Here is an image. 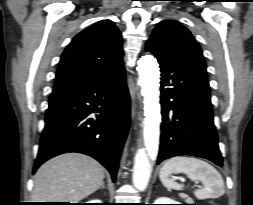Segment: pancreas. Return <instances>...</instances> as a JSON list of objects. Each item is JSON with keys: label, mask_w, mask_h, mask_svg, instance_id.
I'll return each mask as SVG.
<instances>
[{"label": "pancreas", "mask_w": 253, "mask_h": 205, "mask_svg": "<svg viewBox=\"0 0 253 205\" xmlns=\"http://www.w3.org/2000/svg\"><path fill=\"white\" fill-rule=\"evenodd\" d=\"M179 195H180L181 198L185 199L187 202L192 201V199L187 194L180 193Z\"/></svg>", "instance_id": "pancreas-1"}]
</instances>
